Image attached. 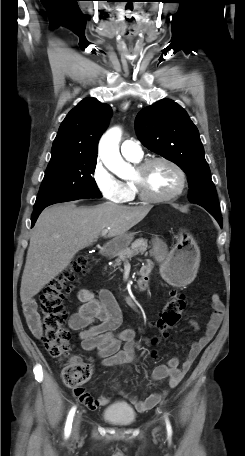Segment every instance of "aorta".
Segmentation results:
<instances>
[{
	"instance_id": "762f6f07",
	"label": "aorta",
	"mask_w": 245,
	"mask_h": 456,
	"mask_svg": "<svg viewBox=\"0 0 245 456\" xmlns=\"http://www.w3.org/2000/svg\"><path fill=\"white\" fill-rule=\"evenodd\" d=\"M122 131L119 127L109 129L99 142V155L104 165L119 177H125L130 165L123 160L119 151Z\"/></svg>"
}]
</instances>
